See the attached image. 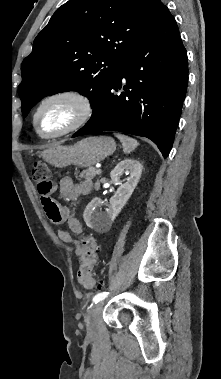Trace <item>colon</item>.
Returning a JSON list of instances; mask_svg holds the SVG:
<instances>
[{
  "label": "colon",
  "mask_w": 221,
  "mask_h": 379,
  "mask_svg": "<svg viewBox=\"0 0 221 379\" xmlns=\"http://www.w3.org/2000/svg\"><path fill=\"white\" fill-rule=\"evenodd\" d=\"M32 179L37 183V188L41 195H47L51 191L53 183L51 180V170L47 164L36 162L32 168ZM81 244L83 254L77 277L83 287L92 289L96 287L92 270L97 261L99 249L95 239L90 235L82 237Z\"/></svg>",
  "instance_id": "colon-1"
}]
</instances>
